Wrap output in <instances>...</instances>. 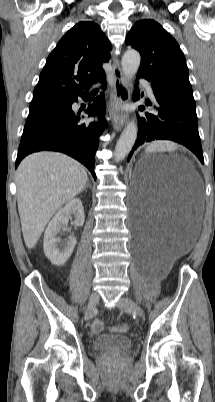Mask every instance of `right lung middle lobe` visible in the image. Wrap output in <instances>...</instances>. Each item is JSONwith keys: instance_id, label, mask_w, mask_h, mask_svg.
<instances>
[{"instance_id": "dd1d6c3e", "label": "right lung middle lobe", "mask_w": 215, "mask_h": 402, "mask_svg": "<svg viewBox=\"0 0 215 402\" xmlns=\"http://www.w3.org/2000/svg\"><path fill=\"white\" fill-rule=\"evenodd\" d=\"M67 102L68 100L66 99H48L31 102L29 115L23 132L40 125L63 112Z\"/></svg>"}]
</instances>
